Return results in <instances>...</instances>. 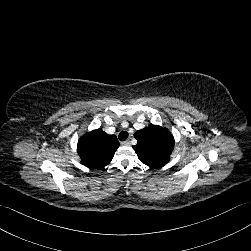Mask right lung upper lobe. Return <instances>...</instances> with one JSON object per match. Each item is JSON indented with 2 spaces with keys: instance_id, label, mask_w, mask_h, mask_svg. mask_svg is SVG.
Instances as JSON below:
<instances>
[{
  "instance_id": "cb5924a9",
  "label": "right lung upper lobe",
  "mask_w": 251,
  "mask_h": 251,
  "mask_svg": "<svg viewBox=\"0 0 251 251\" xmlns=\"http://www.w3.org/2000/svg\"><path fill=\"white\" fill-rule=\"evenodd\" d=\"M119 142L115 135L97 129L83 135L77 145L81 163L92 169H101L112 160Z\"/></svg>"
}]
</instances>
